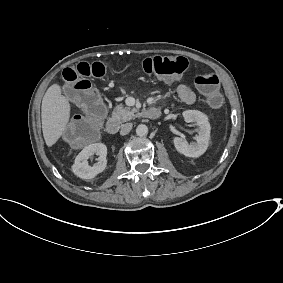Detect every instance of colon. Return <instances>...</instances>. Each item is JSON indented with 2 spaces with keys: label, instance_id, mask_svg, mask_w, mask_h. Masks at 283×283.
Segmentation results:
<instances>
[{
  "label": "colon",
  "instance_id": "1",
  "mask_svg": "<svg viewBox=\"0 0 283 283\" xmlns=\"http://www.w3.org/2000/svg\"><path fill=\"white\" fill-rule=\"evenodd\" d=\"M187 67L188 62L183 57L151 56L142 62V70L146 74L169 79L180 76ZM108 71L109 68L99 62H81L63 70L64 91L82 110V115L74 117L64 131L68 142L84 144L96 137L106 116V106L98 89L87 78L101 77ZM195 85L211 107L219 108L222 105L220 82L215 74L197 76Z\"/></svg>",
  "mask_w": 283,
  "mask_h": 283
}]
</instances>
